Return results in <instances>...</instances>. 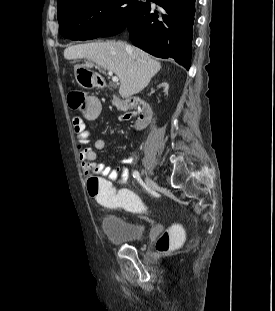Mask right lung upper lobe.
Here are the masks:
<instances>
[{
  "label": "right lung upper lobe",
  "instance_id": "obj_1",
  "mask_svg": "<svg viewBox=\"0 0 275 311\" xmlns=\"http://www.w3.org/2000/svg\"><path fill=\"white\" fill-rule=\"evenodd\" d=\"M67 1H70V0H58V5L64 3V2H67Z\"/></svg>",
  "mask_w": 275,
  "mask_h": 311
}]
</instances>
